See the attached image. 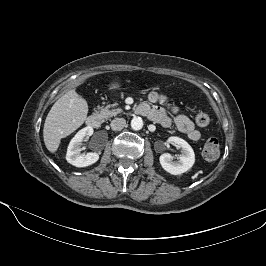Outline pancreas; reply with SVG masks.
Returning a JSON list of instances; mask_svg holds the SVG:
<instances>
[{"mask_svg":"<svg viewBox=\"0 0 266 266\" xmlns=\"http://www.w3.org/2000/svg\"><path fill=\"white\" fill-rule=\"evenodd\" d=\"M117 104H112V105H107L105 107H98V113L103 117V118H109L116 116L117 114L122 112V109L120 108H113Z\"/></svg>","mask_w":266,"mask_h":266,"instance_id":"1","label":"pancreas"}]
</instances>
